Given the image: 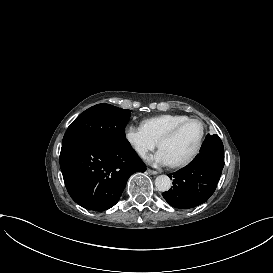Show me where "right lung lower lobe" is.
Masks as SVG:
<instances>
[{"label": "right lung lower lobe", "instance_id": "obj_1", "mask_svg": "<svg viewBox=\"0 0 273 273\" xmlns=\"http://www.w3.org/2000/svg\"><path fill=\"white\" fill-rule=\"evenodd\" d=\"M60 168L71 198L93 211L114 206L128 178L146 170L132 148L84 140L62 145Z\"/></svg>", "mask_w": 273, "mask_h": 273}]
</instances>
